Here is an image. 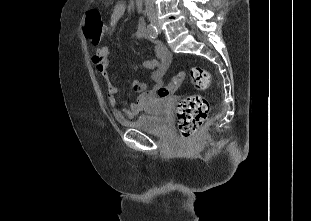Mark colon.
<instances>
[{
	"instance_id": "colon-1",
	"label": "colon",
	"mask_w": 311,
	"mask_h": 221,
	"mask_svg": "<svg viewBox=\"0 0 311 221\" xmlns=\"http://www.w3.org/2000/svg\"><path fill=\"white\" fill-rule=\"evenodd\" d=\"M100 15L101 11L97 8H90L86 13L87 24L84 27L85 39H89L94 45L99 43L104 28L103 24H100L99 21ZM191 78L197 89H208L211 86V75L204 68L192 67ZM183 79L184 73H181L175 82L169 84L166 88H158V95H162V97L169 95V92L176 88ZM209 112V102L203 96L190 95L180 99L177 105L175 126L177 132L183 136L184 141H189L191 136L202 127Z\"/></svg>"
}]
</instances>
